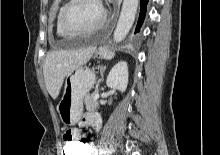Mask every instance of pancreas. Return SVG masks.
<instances>
[{
  "mask_svg": "<svg viewBox=\"0 0 220 155\" xmlns=\"http://www.w3.org/2000/svg\"><path fill=\"white\" fill-rule=\"evenodd\" d=\"M86 110L91 112L98 108V101L94 99V94L87 95L84 99Z\"/></svg>",
  "mask_w": 220,
  "mask_h": 155,
  "instance_id": "1",
  "label": "pancreas"
}]
</instances>
